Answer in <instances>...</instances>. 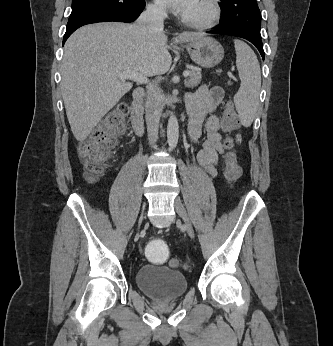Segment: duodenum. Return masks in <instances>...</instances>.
<instances>
[{
  "label": "duodenum",
  "mask_w": 333,
  "mask_h": 346,
  "mask_svg": "<svg viewBox=\"0 0 333 346\" xmlns=\"http://www.w3.org/2000/svg\"><path fill=\"white\" fill-rule=\"evenodd\" d=\"M145 92L142 88H136L132 94L130 121L133 131L141 135L144 131L143 99Z\"/></svg>",
  "instance_id": "duodenum-1"
}]
</instances>
